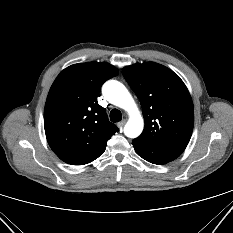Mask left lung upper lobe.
<instances>
[{
  "instance_id": "obj_1",
  "label": "left lung upper lobe",
  "mask_w": 233,
  "mask_h": 233,
  "mask_svg": "<svg viewBox=\"0 0 233 233\" xmlns=\"http://www.w3.org/2000/svg\"><path fill=\"white\" fill-rule=\"evenodd\" d=\"M123 76L138 96L145 120L136 140L186 148L194 111L189 91L179 76L155 62L124 67Z\"/></svg>"
}]
</instances>
